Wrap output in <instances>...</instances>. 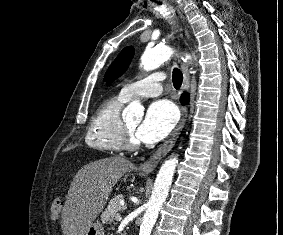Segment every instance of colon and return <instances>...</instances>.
<instances>
[{
  "instance_id": "colon-1",
  "label": "colon",
  "mask_w": 283,
  "mask_h": 235,
  "mask_svg": "<svg viewBox=\"0 0 283 235\" xmlns=\"http://www.w3.org/2000/svg\"><path fill=\"white\" fill-rule=\"evenodd\" d=\"M62 208V199L60 197H55L51 204V215L57 217L60 214Z\"/></svg>"
}]
</instances>
